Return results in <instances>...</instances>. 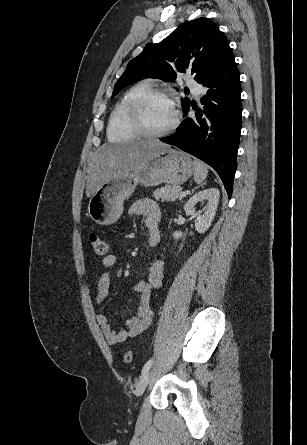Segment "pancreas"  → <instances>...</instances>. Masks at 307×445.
<instances>
[{"mask_svg": "<svg viewBox=\"0 0 307 445\" xmlns=\"http://www.w3.org/2000/svg\"><path fill=\"white\" fill-rule=\"evenodd\" d=\"M181 186L178 184H165V186H161V188H157L154 190L153 196L156 200H162V202H166V200H177L180 198Z\"/></svg>", "mask_w": 307, "mask_h": 445, "instance_id": "1", "label": "pancreas"}]
</instances>
